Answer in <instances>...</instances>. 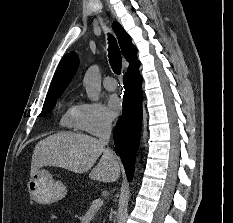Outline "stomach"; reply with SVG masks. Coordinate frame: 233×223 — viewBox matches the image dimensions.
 <instances>
[{
  "instance_id": "obj_1",
  "label": "stomach",
  "mask_w": 233,
  "mask_h": 223,
  "mask_svg": "<svg viewBox=\"0 0 233 223\" xmlns=\"http://www.w3.org/2000/svg\"><path fill=\"white\" fill-rule=\"evenodd\" d=\"M27 187L31 199L36 203H41V205L55 203L67 195L65 183L59 179H54L48 169L35 171L34 175L30 177Z\"/></svg>"
}]
</instances>
